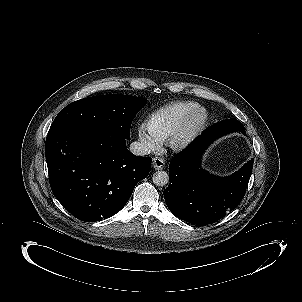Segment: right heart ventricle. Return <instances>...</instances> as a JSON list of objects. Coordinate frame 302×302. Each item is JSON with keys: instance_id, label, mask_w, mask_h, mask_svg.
Here are the masks:
<instances>
[{"instance_id": "e07e8e85", "label": "right heart ventricle", "mask_w": 302, "mask_h": 302, "mask_svg": "<svg viewBox=\"0 0 302 302\" xmlns=\"http://www.w3.org/2000/svg\"><path fill=\"white\" fill-rule=\"evenodd\" d=\"M197 107H199L198 104L192 101L172 102L155 111L147 121V127L164 140L176 129L183 118Z\"/></svg>"}]
</instances>
